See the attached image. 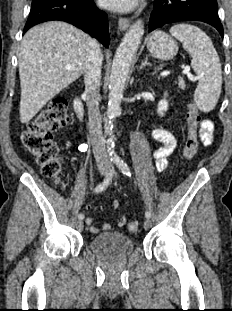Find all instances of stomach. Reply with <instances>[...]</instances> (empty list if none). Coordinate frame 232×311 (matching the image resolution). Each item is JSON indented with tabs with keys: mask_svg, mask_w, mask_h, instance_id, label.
I'll use <instances>...</instances> for the list:
<instances>
[{
	"mask_svg": "<svg viewBox=\"0 0 232 311\" xmlns=\"http://www.w3.org/2000/svg\"><path fill=\"white\" fill-rule=\"evenodd\" d=\"M147 50L155 58L169 60L177 54L178 45L176 41L165 32L155 31L148 39Z\"/></svg>",
	"mask_w": 232,
	"mask_h": 311,
	"instance_id": "stomach-1",
	"label": "stomach"
}]
</instances>
